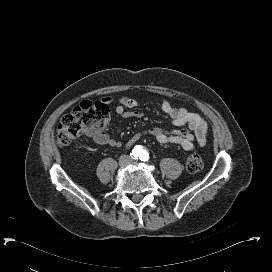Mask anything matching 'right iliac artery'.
I'll use <instances>...</instances> for the list:
<instances>
[{"label":"right iliac artery","mask_w":272,"mask_h":272,"mask_svg":"<svg viewBox=\"0 0 272 272\" xmlns=\"http://www.w3.org/2000/svg\"><path fill=\"white\" fill-rule=\"evenodd\" d=\"M137 154H138V148L133 151L132 155H133V157L137 158L138 157Z\"/></svg>","instance_id":"obj_1"}]
</instances>
